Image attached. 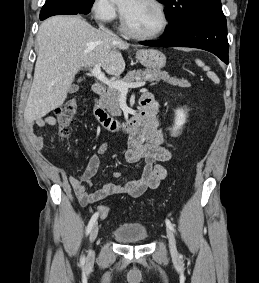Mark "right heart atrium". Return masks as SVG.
<instances>
[{"mask_svg":"<svg viewBox=\"0 0 259 283\" xmlns=\"http://www.w3.org/2000/svg\"><path fill=\"white\" fill-rule=\"evenodd\" d=\"M93 17L102 23L112 22L117 16V7L111 0H93Z\"/></svg>","mask_w":259,"mask_h":283,"instance_id":"right-heart-atrium-1","label":"right heart atrium"}]
</instances>
